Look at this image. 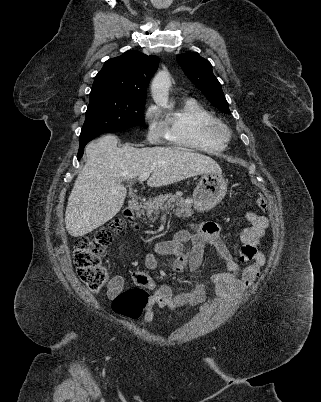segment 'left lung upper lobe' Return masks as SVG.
Here are the masks:
<instances>
[{"instance_id": "1", "label": "left lung upper lobe", "mask_w": 321, "mask_h": 402, "mask_svg": "<svg viewBox=\"0 0 321 402\" xmlns=\"http://www.w3.org/2000/svg\"><path fill=\"white\" fill-rule=\"evenodd\" d=\"M177 61L186 76L202 91L205 97L223 113H229V106L221 84L214 76L212 65L196 52L177 55Z\"/></svg>"}]
</instances>
